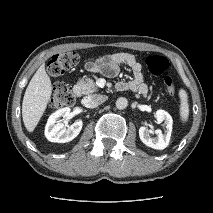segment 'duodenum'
<instances>
[{"instance_id":"obj_1","label":"duodenum","mask_w":213,"mask_h":213,"mask_svg":"<svg viewBox=\"0 0 213 213\" xmlns=\"http://www.w3.org/2000/svg\"><path fill=\"white\" fill-rule=\"evenodd\" d=\"M73 93H74V95H75L76 97H78V96H80V94H81V90H80L79 88H75L74 91H73Z\"/></svg>"}]
</instances>
